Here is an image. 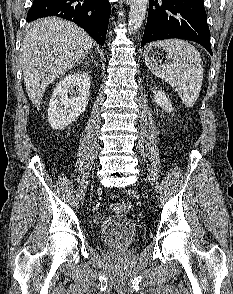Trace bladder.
Returning <instances> with one entry per match:
<instances>
[{"mask_svg":"<svg viewBox=\"0 0 233 294\" xmlns=\"http://www.w3.org/2000/svg\"><path fill=\"white\" fill-rule=\"evenodd\" d=\"M137 237V227L131 218L124 215H110L100 226L99 238L113 249L128 248Z\"/></svg>","mask_w":233,"mask_h":294,"instance_id":"bladder-1","label":"bladder"}]
</instances>
